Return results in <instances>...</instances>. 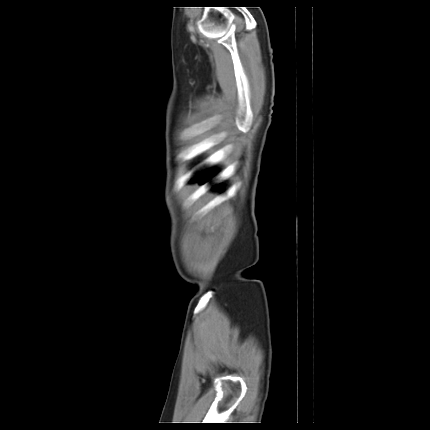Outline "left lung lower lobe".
Instances as JSON below:
<instances>
[{
  "instance_id": "1",
  "label": "left lung lower lobe",
  "mask_w": 430,
  "mask_h": 430,
  "mask_svg": "<svg viewBox=\"0 0 430 430\" xmlns=\"http://www.w3.org/2000/svg\"><path fill=\"white\" fill-rule=\"evenodd\" d=\"M203 178L204 177L200 175V176H197L196 178H194L192 181H195V180L201 181V180H203Z\"/></svg>"
}]
</instances>
